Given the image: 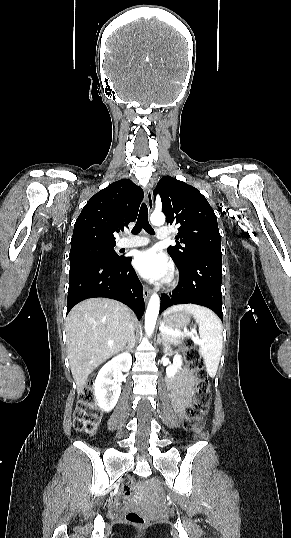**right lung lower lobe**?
Instances as JSON below:
<instances>
[{"instance_id":"1","label":"right lung lower lobe","mask_w":291,"mask_h":538,"mask_svg":"<svg viewBox=\"0 0 291 538\" xmlns=\"http://www.w3.org/2000/svg\"><path fill=\"white\" fill-rule=\"evenodd\" d=\"M132 258L91 260L70 265L67 313L79 302L94 297L118 300L141 318L145 309L143 287L131 266Z\"/></svg>"}]
</instances>
